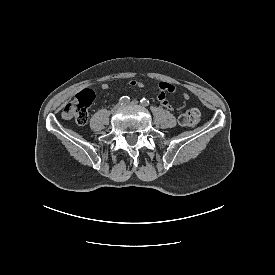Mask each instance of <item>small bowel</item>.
Listing matches in <instances>:
<instances>
[{"label":"small bowel","instance_id":"c3829d8e","mask_svg":"<svg viewBox=\"0 0 275 275\" xmlns=\"http://www.w3.org/2000/svg\"><path fill=\"white\" fill-rule=\"evenodd\" d=\"M130 85L137 88H143L145 86L143 82L138 80H132L130 82ZM107 88H108L107 84L101 85L102 90H106ZM175 91H176V88L172 84L167 82H161L157 90V100L163 107H165L166 109L172 110L173 107L171 106V104L167 99V94L174 93ZM182 99H183V103H185L189 99V95L187 93H183ZM182 107L183 106L179 107L178 109H181Z\"/></svg>","mask_w":275,"mask_h":275}]
</instances>
